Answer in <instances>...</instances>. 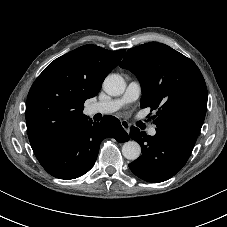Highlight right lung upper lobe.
Here are the masks:
<instances>
[{
	"instance_id": "obj_1",
	"label": "right lung upper lobe",
	"mask_w": 227,
	"mask_h": 227,
	"mask_svg": "<svg viewBox=\"0 0 227 227\" xmlns=\"http://www.w3.org/2000/svg\"><path fill=\"white\" fill-rule=\"evenodd\" d=\"M124 53L84 45L51 62L37 77L26 102L27 132L37 159L88 120L84 102L98 94Z\"/></svg>"
}]
</instances>
